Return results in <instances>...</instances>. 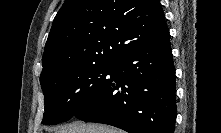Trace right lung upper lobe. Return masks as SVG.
Returning <instances> with one entry per match:
<instances>
[{
    "label": "right lung upper lobe",
    "mask_w": 221,
    "mask_h": 133,
    "mask_svg": "<svg viewBox=\"0 0 221 133\" xmlns=\"http://www.w3.org/2000/svg\"><path fill=\"white\" fill-rule=\"evenodd\" d=\"M167 38L159 0H66L45 45L41 76L64 65L112 63Z\"/></svg>",
    "instance_id": "right-lung-upper-lobe-1"
}]
</instances>
